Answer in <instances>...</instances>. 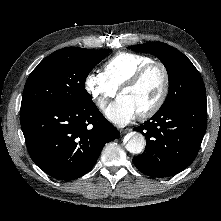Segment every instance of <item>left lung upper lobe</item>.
<instances>
[{"instance_id":"5c2ea615","label":"left lung upper lobe","mask_w":221,"mask_h":221,"mask_svg":"<svg viewBox=\"0 0 221 221\" xmlns=\"http://www.w3.org/2000/svg\"><path fill=\"white\" fill-rule=\"evenodd\" d=\"M158 57L168 72L169 92L161 108L174 104H206V91L200 73L180 51L162 42L129 46Z\"/></svg>"}]
</instances>
